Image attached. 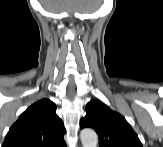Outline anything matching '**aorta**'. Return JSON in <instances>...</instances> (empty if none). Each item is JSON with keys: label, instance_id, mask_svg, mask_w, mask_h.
Here are the masks:
<instances>
[{"label": "aorta", "instance_id": "1", "mask_svg": "<svg viewBox=\"0 0 163 147\" xmlns=\"http://www.w3.org/2000/svg\"><path fill=\"white\" fill-rule=\"evenodd\" d=\"M80 138L83 147H96L98 143V136L96 132L92 129H83L80 133Z\"/></svg>", "mask_w": 163, "mask_h": 147}]
</instances>
